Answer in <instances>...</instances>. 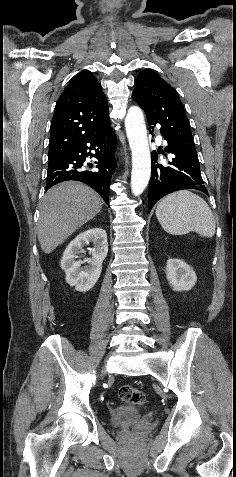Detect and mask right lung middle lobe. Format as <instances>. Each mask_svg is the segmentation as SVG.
Here are the masks:
<instances>
[{"instance_id": "dd1d6c3e", "label": "right lung middle lobe", "mask_w": 236, "mask_h": 477, "mask_svg": "<svg viewBox=\"0 0 236 477\" xmlns=\"http://www.w3.org/2000/svg\"><path fill=\"white\" fill-rule=\"evenodd\" d=\"M56 159H58V158H56V157H51V156L49 157V161L56 160Z\"/></svg>"}]
</instances>
